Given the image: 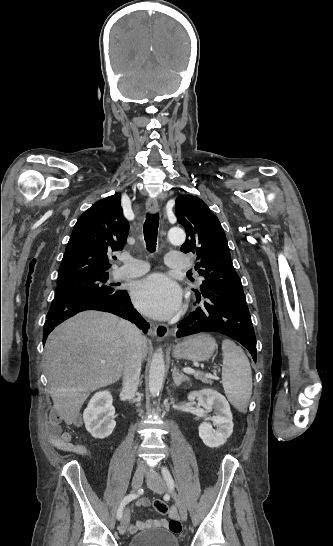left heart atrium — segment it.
<instances>
[{
	"label": "left heart atrium",
	"mask_w": 333,
	"mask_h": 546,
	"mask_svg": "<svg viewBox=\"0 0 333 546\" xmlns=\"http://www.w3.org/2000/svg\"><path fill=\"white\" fill-rule=\"evenodd\" d=\"M132 299L146 315L155 319H168L180 307L181 292L169 277L156 273L133 284Z\"/></svg>",
	"instance_id": "1"
}]
</instances>
